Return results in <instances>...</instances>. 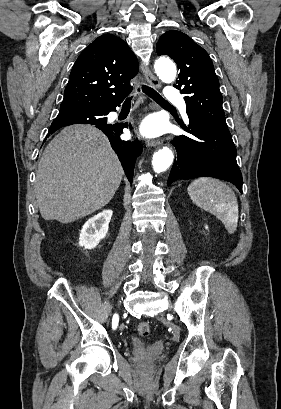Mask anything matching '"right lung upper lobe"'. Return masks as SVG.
Returning a JSON list of instances; mask_svg holds the SVG:
<instances>
[{
    "instance_id": "obj_1",
    "label": "right lung upper lobe",
    "mask_w": 281,
    "mask_h": 409,
    "mask_svg": "<svg viewBox=\"0 0 281 409\" xmlns=\"http://www.w3.org/2000/svg\"><path fill=\"white\" fill-rule=\"evenodd\" d=\"M138 61L119 37L104 34L76 60L60 108L112 107L131 92Z\"/></svg>"
}]
</instances>
